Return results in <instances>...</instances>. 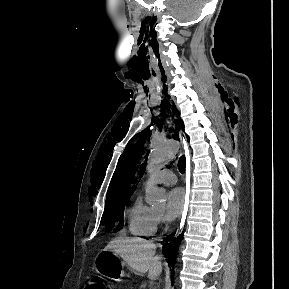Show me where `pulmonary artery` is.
<instances>
[{
    "mask_svg": "<svg viewBox=\"0 0 289 289\" xmlns=\"http://www.w3.org/2000/svg\"><path fill=\"white\" fill-rule=\"evenodd\" d=\"M151 182L165 185L174 184L176 182V175L170 169H162L157 172L151 179Z\"/></svg>",
    "mask_w": 289,
    "mask_h": 289,
    "instance_id": "e3ab8cb5",
    "label": "pulmonary artery"
}]
</instances>
